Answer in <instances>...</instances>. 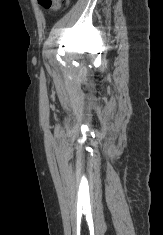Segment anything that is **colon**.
<instances>
[{
  "label": "colon",
  "instance_id": "5ec220e1",
  "mask_svg": "<svg viewBox=\"0 0 163 235\" xmlns=\"http://www.w3.org/2000/svg\"><path fill=\"white\" fill-rule=\"evenodd\" d=\"M38 2L47 10H60L69 4V0H38Z\"/></svg>",
  "mask_w": 163,
  "mask_h": 235
}]
</instances>
